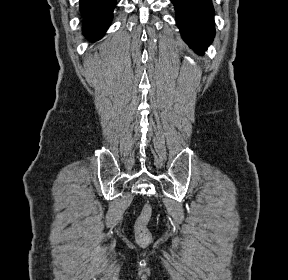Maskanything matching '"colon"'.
<instances>
[{
	"label": "colon",
	"instance_id": "5ec220e1",
	"mask_svg": "<svg viewBox=\"0 0 288 280\" xmlns=\"http://www.w3.org/2000/svg\"><path fill=\"white\" fill-rule=\"evenodd\" d=\"M152 216V206L147 203L144 205L135 223V236L140 244H148L151 240V233L148 228Z\"/></svg>",
	"mask_w": 288,
	"mask_h": 280
}]
</instances>
